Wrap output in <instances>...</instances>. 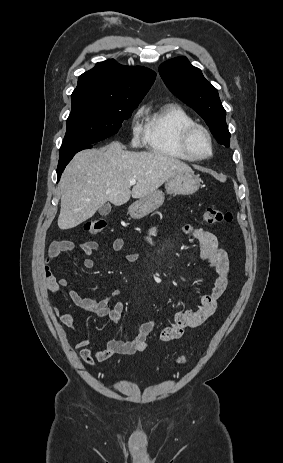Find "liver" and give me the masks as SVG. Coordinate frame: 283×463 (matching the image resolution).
<instances>
[{
  "label": "liver",
  "mask_w": 283,
  "mask_h": 463,
  "mask_svg": "<svg viewBox=\"0 0 283 463\" xmlns=\"http://www.w3.org/2000/svg\"><path fill=\"white\" fill-rule=\"evenodd\" d=\"M119 142L77 153L62 173L58 226L74 228L91 218L107 201L120 206L142 198L170 178L193 172L181 160L158 152L125 151ZM130 179L136 184L130 190Z\"/></svg>",
  "instance_id": "liver-1"
}]
</instances>
